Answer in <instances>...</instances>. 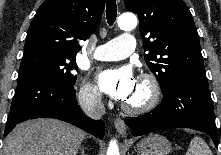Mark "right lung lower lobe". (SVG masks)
I'll list each match as a JSON object with an SVG mask.
<instances>
[{
	"label": "right lung lower lobe",
	"instance_id": "98d812e1",
	"mask_svg": "<svg viewBox=\"0 0 221 155\" xmlns=\"http://www.w3.org/2000/svg\"><path fill=\"white\" fill-rule=\"evenodd\" d=\"M56 118L102 138L105 125L86 117L76 101L74 87L64 86L50 77L30 73L18 79L4 136L25 120Z\"/></svg>",
	"mask_w": 221,
	"mask_h": 155
}]
</instances>
